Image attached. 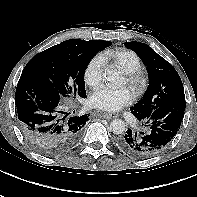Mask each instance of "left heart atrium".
Segmentation results:
<instances>
[{"mask_svg": "<svg viewBox=\"0 0 197 197\" xmlns=\"http://www.w3.org/2000/svg\"><path fill=\"white\" fill-rule=\"evenodd\" d=\"M134 99L127 88L114 89L107 86L98 88L90 98V104L106 112H116L129 105Z\"/></svg>", "mask_w": 197, "mask_h": 197, "instance_id": "left-heart-atrium-1", "label": "left heart atrium"}]
</instances>
